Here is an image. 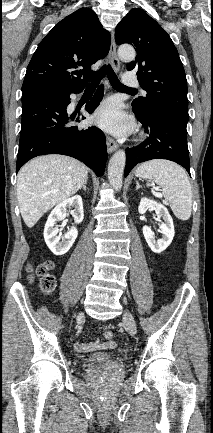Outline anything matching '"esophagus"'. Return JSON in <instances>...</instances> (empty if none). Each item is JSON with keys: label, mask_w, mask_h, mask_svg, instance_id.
<instances>
[{"label": "esophagus", "mask_w": 213, "mask_h": 433, "mask_svg": "<svg viewBox=\"0 0 213 433\" xmlns=\"http://www.w3.org/2000/svg\"><path fill=\"white\" fill-rule=\"evenodd\" d=\"M109 59H110V62L112 64L113 69L115 71H118L119 67H120V61H119V59L117 57V53H116V43H115V39H114V32L111 35ZM106 143H107V150L109 153H112L115 150H117L118 144L110 136L106 137Z\"/></svg>", "instance_id": "34e87169"}]
</instances>
